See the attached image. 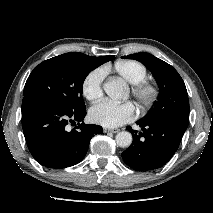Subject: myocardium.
<instances>
[{
  "label": "myocardium",
  "mask_w": 213,
  "mask_h": 213,
  "mask_svg": "<svg viewBox=\"0 0 213 213\" xmlns=\"http://www.w3.org/2000/svg\"><path fill=\"white\" fill-rule=\"evenodd\" d=\"M131 95L141 108H147L157 99L159 88L154 82L144 79L132 84Z\"/></svg>",
  "instance_id": "myocardium-1"
}]
</instances>
